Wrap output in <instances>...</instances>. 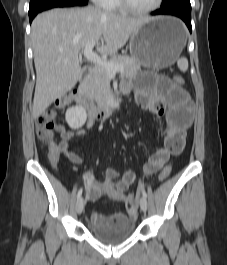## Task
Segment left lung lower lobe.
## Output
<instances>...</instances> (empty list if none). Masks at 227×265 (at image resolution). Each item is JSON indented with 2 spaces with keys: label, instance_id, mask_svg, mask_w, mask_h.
<instances>
[{
  "label": "left lung lower lobe",
  "instance_id": "1",
  "mask_svg": "<svg viewBox=\"0 0 227 265\" xmlns=\"http://www.w3.org/2000/svg\"><path fill=\"white\" fill-rule=\"evenodd\" d=\"M152 15L165 14L173 15L181 18L187 25L189 31H192L191 27V10H156L151 13Z\"/></svg>",
  "mask_w": 227,
  "mask_h": 265
}]
</instances>
